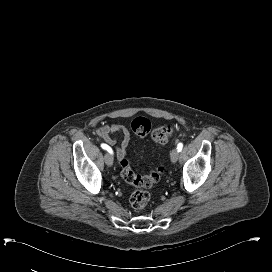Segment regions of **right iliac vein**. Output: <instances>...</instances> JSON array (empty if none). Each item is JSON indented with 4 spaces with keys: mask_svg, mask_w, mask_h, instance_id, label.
I'll use <instances>...</instances> for the list:
<instances>
[{
    "mask_svg": "<svg viewBox=\"0 0 272 272\" xmlns=\"http://www.w3.org/2000/svg\"><path fill=\"white\" fill-rule=\"evenodd\" d=\"M104 159H105V163L108 166H112L113 165V156H112L111 153H106Z\"/></svg>",
    "mask_w": 272,
    "mask_h": 272,
    "instance_id": "obj_1",
    "label": "right iliac vein"
}]
</instances>
